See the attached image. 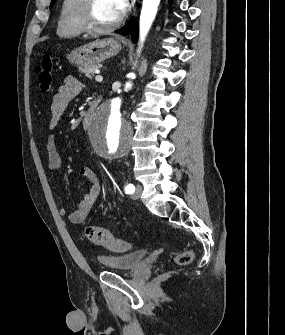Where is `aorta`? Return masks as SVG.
Here are the masks:
<instances>
[{"label":"aorta","instance_id":"obj_1","mask_svg":"<svg viewBox=\"0 0 285 335\" xmlns=\"http://www.w3.org/2000/svg\"><path fill=\"white\" fill-rule=\"evenodd\" d=\"M160 0H143L140 16V48L155 20ZM135 78V74H128ZM131 82L125 84V90H116L115 95H107L102 105H97V112H92L85 134L91 137V147H97L96 155L102 160H119L125 152H130L134 130L123 119L125 102H132Z\"/></svg>","mask_w":285,"mask_h":335}]
</instances>
